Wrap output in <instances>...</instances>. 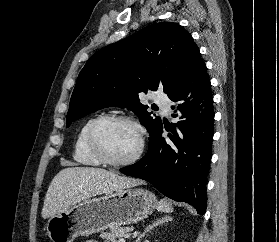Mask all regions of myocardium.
I'll use <instances>...</instances> for the list:
<instances>
[{"mask_svg":"<svg viewBox=\"0 0 279 242\" xmlns=\"http://www.w3.org/2000/svg\"><path fill=\"white\" fill-rule=\"evenodd\" d=\"M115 122L130 124L135 127L138 132V147L131 157L124 160H115L111 158L105 151L99 136L100 130L103 128V126ZM88 143L93 154L102 163L113 167H124L134 164L141 157L145 146V132L139 121L131 116L105 115L98 117L91 125L88 133Z\"/></svg>","mask_w":279,"mask_h":242,"instance_id":"myocardium-1","label":"myocardium"}]
</instances>
